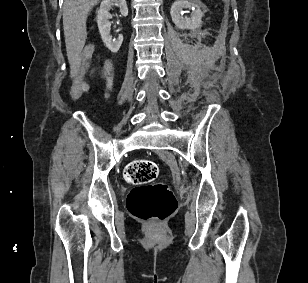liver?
<instances>
[{"instance_id":"6515ba94","label":"liver","mask_w":308,"mask_h":283,"mask_svg":"<svg viewBox=\"0 0 308 283\" xmlns=\"http://www.w3.org/2000/svg\"><path fill=\"white\" fill-rule=\"evenodd\" d=\"M100 0H65L63 4V28L68 60L78 58L87 38L88 13Z\"/></svg>"}]
</instances>
